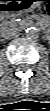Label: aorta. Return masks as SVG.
Segmentation results:
<instances>
[{"mask_svg":"<svg viewBox=\"0 0 50 111\" xmlns=\"http://www.w3.org/2000/svg\"><path fill=\"white\" fill-rule=\"evenodd\" d=\"M25 35L29 39H36L39 35V31L37 28L30 27L25 30Z\"/></svg>","mask_w":50,"mask_h":111,"instance_id":"aorta-1","label":"aorta"}]
</instances>
